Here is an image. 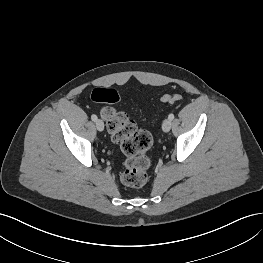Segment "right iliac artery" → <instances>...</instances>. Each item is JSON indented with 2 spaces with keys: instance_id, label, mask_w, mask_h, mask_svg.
I'll return each mask as SVG.
<instances>
[{
  "instance_id": "right-iliac-artery-1",
  "label": "right iliac artery",
  "mask_w": 263,
  "mask_h": 263,
  "mask_svg": "<svg viewBox=\"0 0 263 263\" xmlns=\"http://www.w3.org/2000/svg\"><path fill=\"white\" fill-rule=\"evenodd\" d=\"M91 119H92L93 121H96L98 118H97L96 115L93 114V115L91 116Z\"/></svg>"
}]
</instances>
